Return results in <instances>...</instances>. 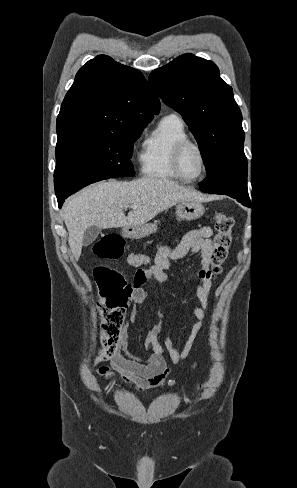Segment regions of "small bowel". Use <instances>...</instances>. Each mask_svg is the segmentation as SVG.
I'll return each mask as SVG.
<instances>
[{
    "instance_id": "small-bowel-1",
    "label": "small bowel",
    "mask_w": 297,
    "mask_h": 488,
    "mask_svg": "<svg viewBox=\"0 0 297 488\" xmlns=\"http://www.w3.org/2000/svg\"><path fill=\"white\" fill-rule=\"evenodd\" d=\"M212 230L203 226L186 233L180 241L174 244H157L152 258V264L145 268V282L138 284L132 292L130 303L142 306L149 304V293L145 285L159 287L168 281L166 271L173 263L184 258L188 253H198V272L196 274L195 289L200 306H193L189 312L198 319L191 329L189 337L181 351L178 350L176 342L170 334L164 339V345L168 351L169 358L173 364L186 359L194 346V340L198 333L203 330V321L209 314L210 291L213 275L210 267V255L212 250ZM151 258L141 253H131L127 257L128 264L138 267L148 264ZM166 312L157 309L154 313L155 324L146 333L144 345L148 354L145 357L139 356L128 348L127 334L123 332L117 352L111 357L109 366L100 367L96 376L103 382L113 381L115 374H119L125 382L131 384L138 391H147L154 388L172 386L174 381L167 377L170 369L167 366L166 355L160 349L158 337L161 332L160 322ZM196 364H194V367Z\"/></svg>"
}]
</instances>
